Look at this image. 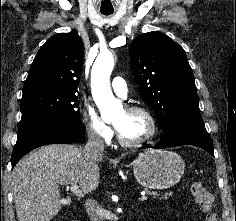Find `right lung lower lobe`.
Returning a JSON list of instances; mask_svg holds the SVG:
<instances>
[{"instance_id": "1", "label": "right lung lower lobe", "mask_w": 236, "mask_h": 221, "mask_svg": "<svg viewBox=\"0 0 236 221\" xmlns=\"http://www.w3.org/2000/svg\"><path fill=\"white\" fill-rule=\"evenodd\" d=\"M86 132L84 124L75 125L55 118H35L21 122L11 162L12 168L31 150L48 144L73 143Z\"/></svg>"}]
</instances>
